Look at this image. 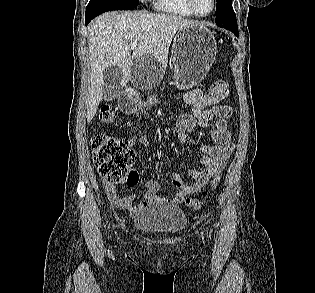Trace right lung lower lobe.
<instances>
[{"instance_id": "1", "label": "right lung lower lobe", "mask_w": 315, "mask_h": 293, "mask_svg": "<svg viewBox=\"0 0 315 293\" xmlns=\"http://www.w3.org/2000/svg\"><path fill=\"white\" fill-rule=\"evenodd\" d=\"M136 8V7H135ZM134 7H127L118 4L112 0H90L86 7L85 24L88 23L96 16L111 10H132Z\"/></svg>"}]
</instances>
